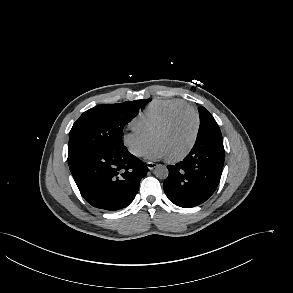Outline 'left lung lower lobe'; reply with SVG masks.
<instances>
[{"mask_svg": "<svg viewBox=\"0 0 293 293\" xmlns=\"http://www.w3.org/2000/svg\"><path fill=\"white\" fill-rule=\"evenodd\" d=\"M222 138L203 136L176 165H168L169 175L164 182V192L177 206L195 207L205 202L216 190L224 164Z\"/></svg>", "mask_w": 293, "mask_h": 293, "instance_id": "0a47b994", "label": "left lung lower lobe"}]
</instances>
